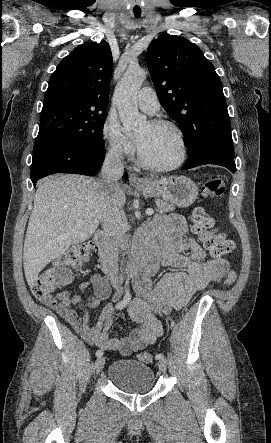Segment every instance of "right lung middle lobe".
<instances>
[{
  "label": "right lung middle lobe",
  "instance_id": "right-lung-middle-lobe-1",
  "mask_svg": "<svg viewBox=\"0 0 271 443\" xmlns=\"http://www.w3.org/2000/svg\"><path fill=\"white\" fill-rule=\"evenodd\" d=\"M107 107H94L72 100L43 103L40 128L33 153L48 143L81 146L104 145L103 126Z\"/></svg>",
  "mask_w": 271,
  "mask_h": 443
}]
</instances>
